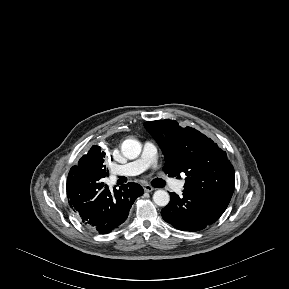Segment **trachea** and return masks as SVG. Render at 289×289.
<instances>
[{"instance_id": "obj_1", "label": "trachea", "mask_w": 289, "mask_h": 289, "mask_svg": "<svg viewBox=\"0 0 289 289\" xmlns=\"http://www.w3.org/2000/svg\"><path fill=\"white\" fill-rule=\"evenodd\" d=\"M154 186L161 188V187L165 186V181H163L162 179H155L154 180Z\"/></svg>"}]
</instances>
